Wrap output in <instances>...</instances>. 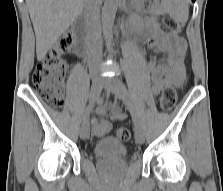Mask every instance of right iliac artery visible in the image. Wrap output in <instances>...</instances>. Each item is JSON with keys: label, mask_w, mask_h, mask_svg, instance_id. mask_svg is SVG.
I'll use <instances>...</instances> for the list:
<instances>
[{"label": "right iliac artery", "mask_w": 223, "mask_h": 191, "mask_svg": "<svg viewBox=\"0 0 223 191\" xmlns=\"http://www.w3.org/2000/svg\"><path fill=\"white\" fill-rule=\"evenodd\" d=\"M94 106H95V102H90L86 106L85 111H84V121H85L86 116L90 114V112L92 111V109L94 108Z\"/></svg>", "instance_id": "obj_1"}]
</instances>
